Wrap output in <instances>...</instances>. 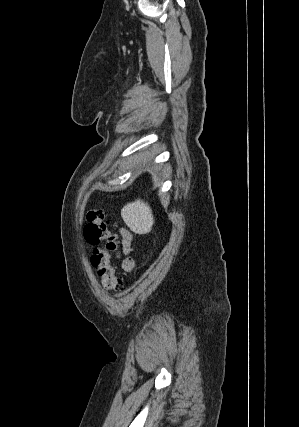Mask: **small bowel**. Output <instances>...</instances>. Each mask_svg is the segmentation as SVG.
Here are the masks:
<instances>
[{
  "mask_svg": "<svg viewBox=\"0 0 299 427\" xmlns=\"http://www.w3.org/2000/svg\"><path fill=\"white\" fill-rule=\"evenodd\" d=\"M120 234L122 236L123 251L128 252L129 247H130V242L132 239V235L127 229H124V228L120 229ZM133 266H134V261L132 258H126L123 261V268L126 271H130L133 268Z\"/></svg>",
  "mask_w": 299,
  "mask_h": 427,
  "instance_id": "c3829d8e",
  "label": "small bowel"
}]
</instances>
